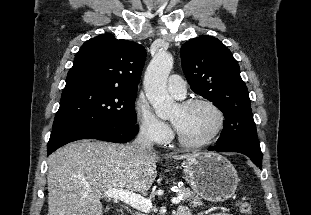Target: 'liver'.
Returning a JSON list of instances; mask_svg holds the SVG:
<instances>
[{"instance_id": "obj_1", "label": "liver", "mask_w": 311, "mask_h": 215, "mask_svg": "<svg viewBox=\"0 0 311 215\" xmlns=\"http://www.w3.org/2000/svg\"><path fill=\"white\" fill-rule=\"evenodd\" d=\"M158 159L134 144L82 140L60 148L48 158V215H102L100 199L109 189L144 194L155 181Z\"/></svg>"}]
</instances>
